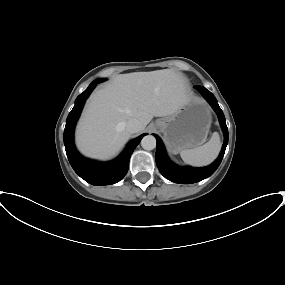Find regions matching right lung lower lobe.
Here are the masks:
<instances>
[{"instance_id": "obj_1", "label": "right lung lower lobe", "mask_w": 285, "mask_h": 285, "mask_svg": "<svg viewBox=\"0 0 285 285\" xmlns=\"http://www.w3.org/2000/svg\"><path fill=\"white\" fill-rule=\"evenodd\" d=\"M100 82L102 81H93L89 87L77 97L75 105L66 120L64 145L72 168L82 179L92 185H111L119 182L126 175L129 168V159L131 154L145 134H142L138 138L130 141L120 156L110 162L102 163L92 161L84 158L78 153L73 141L75 124L87 97L90 95L94 87Z\"/></svg>"}]
</instances>
